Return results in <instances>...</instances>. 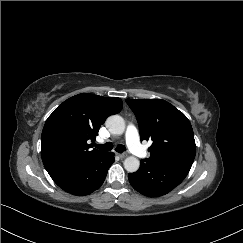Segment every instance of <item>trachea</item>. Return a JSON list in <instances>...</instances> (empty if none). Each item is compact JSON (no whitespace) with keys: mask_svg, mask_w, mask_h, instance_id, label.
Listing matches in <instances>:
<instances>
[{"mask_svg":"<svg viewBox=\"0 0 243 243\" xmlns=\"http://www.w3.org/2000/svg\"><path fill=\"white\" fill-rule=\"evenodd\" d=\"M95 147L100 150L110 151L113 148V144L111 142H107L106 144H95ZM125 150L126 147L124 145H118L116 147V151L119 153H122Z\"/></svg>","mask_w":243,"mask_h":243,"instance_id":"obj_1","label":"trachea"}]
</instances>
